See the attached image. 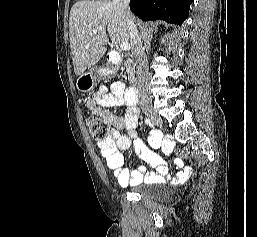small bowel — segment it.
<instances>
[{"mask_svg":"<svg viewBox=\"0 0 257 237\" xmlns=\"http://www.w3.org/2000/svg\"><path fill=\"white\" fill-rule=\"evenodd\" d=\"M87 108L94 114L112 125L109 137L98 143L100 154L105 158L108 169L117 178L120 186H129L139 183H177L184 181L191 173L189 167L182 168V161L177 160L176 165L179 171L176 174L170 173L164 159L153 149L146 147L136 138V127L139 119V109L127 102L125 97V86L122 82L116 81L109 88L101 87L86 102ZM126 105L125 114L117 116L109 109ZM125 130L126 133L122 131ZM162 141L161 135L151 133L149 143L151 147L159 145ZM134 144L137 154L155 171L149 172L143 166H137L130 171L123 167L121 152ZM164 151H170V145H164Z\"/></svg>","mask_w":257,"mask_h":237,"instance_id":"c3829d8e","label":"small bowel"}]
</instances>
